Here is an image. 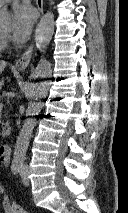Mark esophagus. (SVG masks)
Wrapping results in <instances>:
<instances>
[{
	"label": "esophagus",
	"instance_id": "1",
	"mask_svg": "<svg viewBox=\"0 0 128 213\" xmlns=\"http://www.w3.org/2000/svg\"><path fill=\"white\" fill-rule=\"evenodd\" d=\"M37 8L40 14L43 13V0H36ZM33 53V46L31 45L15 62L14 67L24 70L28 67Z\"/></svg>",
	"mask_w": 128,
	"mask_h": 213
}]
</instances>
